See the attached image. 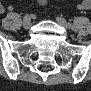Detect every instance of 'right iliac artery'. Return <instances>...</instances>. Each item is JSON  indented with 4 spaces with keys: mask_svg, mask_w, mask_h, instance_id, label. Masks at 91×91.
Returning a JSON list of instances; mask_svg holds the SVG:
<instances>
[{
    "mask_svg": "<svg viewBox=\"0 0 91 91\" xmlns=\"http://www.w3.org/2000/svg\"><path fill=\"white\" fill-rule=\"evenodd\" d=\"M25 18H30V17H29L28 15H26V16L24 17V19H25Z\"/></svg>",
    "mask_w": 91,
    "mask_h": 91,
    "instance_id": "1",
    "label": "right iliac artery"
}]
</instances>
